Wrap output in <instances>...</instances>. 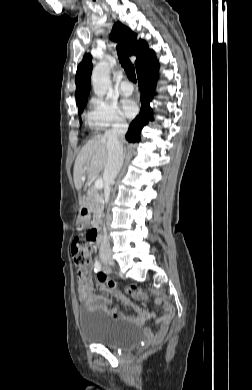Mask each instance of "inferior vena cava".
<instances>
[{"mask_svg": "<svg viewBox=\"0 0 252 390\" xmlns=\"http://www.w3.org/2000/svg\"><path fill=\"white\" fill-rule=\"evenodd\" d=\"M128 125L126 123H116L113 128L105 133L107 139L108 159L104 168L103 179L105 182L104 197L107 203L110 198V186L114 183L123 164V146L121 140L126 134ZM109 237L106 228L100 245V252H110Z\"/></svg>", "mask_w": 252, "mask_h": 390, "instance_id": "1", "label": "inferior vena cava"}]
</instances>
